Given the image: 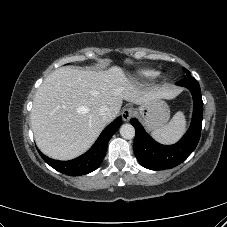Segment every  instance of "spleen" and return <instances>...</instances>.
Listing matches in <instances>:
<instances>
[{
	"mask_svg": "<svg viewBox=\"0 0 227 227\" xmlns=\"http://www.w3.org/2000/svg\"><path fill=\"white\" fill-rule=\"evenodd\" d=\"M186 127L185 116L182 112H177L168 124L155 129L152 136L159 142L170 144L176 142L184 133Z\"/></svg>",
	"mask_w": 227,
	"mask_h": 227,
	"instance_id": "1",
	"label": "spleen"
}]
</instances>
